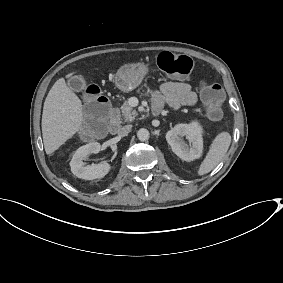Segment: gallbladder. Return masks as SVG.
<instances>
[{
  "label": "gallbladder",
  "instance_id": "bac80fb5",
  "mask_svg": "<svg viewBox=\"0 0 283 283\" xmlns=\"http://www.w3.org/2000/svg\"><path fill=\"white\" fill-rule=\"evenodd\" d=\"M68 86L72 90L79 92V91H82V90L85 89L86 83H85V80L82 77L73 76L68 80Z\"/></svg>",
  "mask_w": 283,
  "mask_h": 283
}]
</instances>
